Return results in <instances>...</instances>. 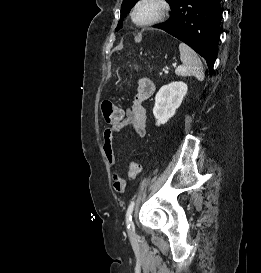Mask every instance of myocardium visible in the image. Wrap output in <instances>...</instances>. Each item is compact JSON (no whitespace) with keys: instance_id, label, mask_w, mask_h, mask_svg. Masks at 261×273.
I'll use <instances>...</instances> for the list:
<instances>
[{"instance_id":"1","label":"myocardium","mask_w":261,"mask_h":273,"mask_svg":"<svg viewBox=\"0 0 261 273\" xmlns=\"http://www.w3.org/2000/svg\"><path fill=\"white\" fill-rule=\"evenodd\" d=\"M144 7H152L153 13L145 20L137 18L138 12ZM170 11L167 0H138L131 9L130 17L132 22L138 27H148L162 22Z\"/></svg>"}]
</instances>
